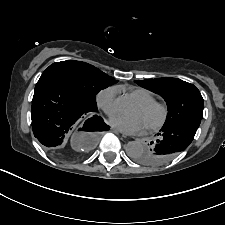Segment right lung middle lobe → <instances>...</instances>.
Returning a JSON list of instances; mask_svg holds the SVG:
<instances>
[{
  "instance_id": "right-lung-middle-lobe-1",
  "label": "right lung middle lobe",
  "mask_w": 225,
  "mask_h": 225,
  "mask_svg": "<svg viewBox=\"0 0 225 225\" xmlns=\"http://www.w3.org/2000/svg\"><path fill=\"white\" fill-rule=\"evenodd\" d=\"M45 78L65 86L93 111L97 110V93L117 82L94 66L74 60L53 63L40 77Z\"/></svg>"
}]
</instances>
